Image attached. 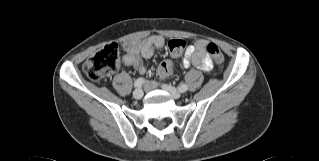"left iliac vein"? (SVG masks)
Instances as JSON below:
<instances>
[{
  "label": "left iliac vein",
  "instance_id": "1",
  "mask_svg": "<svg viewBox=\"0 0 319 161\" xmlns=\"http://www.w3.org/2000/svg\"><path fill=\"white\" fill-rule=\"evenodd\" d=\"M162 88L168 92L169 94H171V96L175 99H178L181 97V93L174 87L168 85V84H163Z\"/></svg>",
  "mask_w": 319,
  "mask_h": 161
}]
</instances>
